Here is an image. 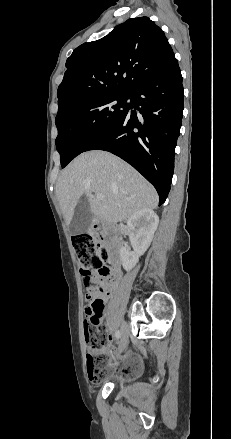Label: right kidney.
I'll list each match as a JSON object with an SVG mask.
<instances>
[{
    "instance_id": "1",
    "label": "right kidney",
    "mask_w": 231,
    "mask_h": 439,
    "mask_svg": "<svg viewBox=\"0 0 231 439\" xmlns=\"http://www.w3.org/2000/svg\"><path fill=\"white\" fill-rule=\"evenodd\" d=\"M159 218L152 209H141L127 220L130 229V241L133 251L127 247L120 249L123 268L130 271L139 261V257L148 249L158 227Z\"/></svg>"
}]
</instances>
